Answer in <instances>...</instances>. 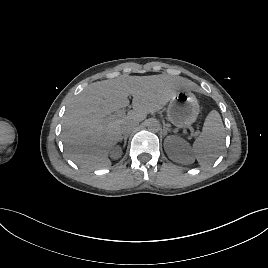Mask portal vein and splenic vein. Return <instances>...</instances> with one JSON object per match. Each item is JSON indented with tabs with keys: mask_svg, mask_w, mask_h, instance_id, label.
I'll list each match as a JSON object with an SVG mask.
<instances>
[{
	"mask_svg": "<svg viewBox=\"0 0 268 268\" xmlns=\"http://www.w3.org/2000/svg\"><path fill=\"white\" fill-rule=\"evenodd\" d=\"M125 114V110H121L120 112H118L115 115H111V118H116V117H120L123 116Z\"/></svg>",
	"mask_w": 268,
	"mask_h": 268,
	"instance_id": "obj_1",
	"label": "portal vein and splenic vein"
}]
</instances>
